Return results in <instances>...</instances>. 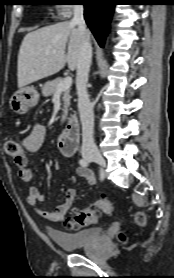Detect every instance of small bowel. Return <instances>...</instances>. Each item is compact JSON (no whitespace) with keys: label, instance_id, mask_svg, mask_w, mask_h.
<instances>
[{"label":"small bowel","instance_id":"c3829d8e","mask_svg":"<svg viewBox=\"0 0 174 278\" xmlns=\"http://www.w3.org/2000/svg\"><path fill=\"white\" fill-rule=\"evenodd\" d=\"M44 135V127L41 125H35L21 144L25 151L24 156L14 158V164L22 182L31 183L33 180L34 174L29 166V156L41 147ZM76 173L79 177L84 179L87 184L94 185L96 183V177L89 168H85L83 166L78 167L76 169ZM75 196V190L68 189L65 193V199L62 204L56 206L52 211L36 209V213L51 223H60L64 221L67 212L74 202ZM44 198V193L38 187L35 185H31L29 187L26 202L30 206H35L37 203L42 202Z\"/></svg>","mask_w":174,"mask_h":278}]
</instances>
